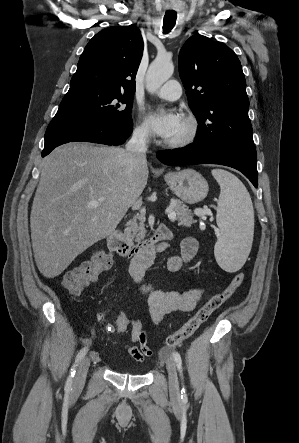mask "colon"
<instances>
[{
    "label": "colon",
    "instance_id": "colon-1",
    "mask_svg": "<svg viewBox=\"0 0 299 443\" xmlns=\"http://www.w3.org/2000/svg\"><path fill=\"white\" fill-rule=\"evenodd\" d=\"M112 261L113 254L111 251L105 249L96 251L90 261L84 262L65 273L62 280L64 288L72 296H79L89 284L110 267ZM244 280L245 274L243 272L236 273L225 289L212 295L178 331L166 337L165 347L167 349L174 348L190 338L209 319L212 313L234 294ZM112 326L115 333L119 335L129 333L134 345H139L146 338V332L140 320L128 311H121L115 317Z\"/></svg>",
    "mask_w": 299,
    "mask_h": 443
}]
</instances>
